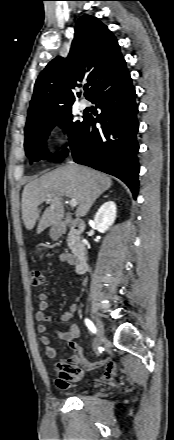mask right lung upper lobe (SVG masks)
<instances>
[{
  "instance_id": "cb5924a9",
  "label": "right lung upper lobe",
  "mask_w": 174,
  "mask_h": 440,
  "mask_svg": "<svg viewBox=\"0 0 174 440\" xmlns=\"http://www.w3.org/2000/svg\"><path fill=\"white\" fill-rule=\"evenodd\" d=\"M123 61L118 41L107 26L90 15L81 16L68 57L53 59L36 80L25 131L71 109L75 100L71 88L82 81L90 86L89 98Z\"/></svg>"
}]
</instances>
